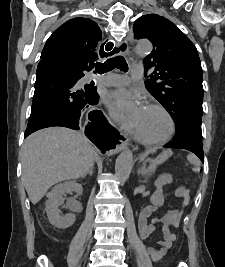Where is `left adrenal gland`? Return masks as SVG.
<instances>
[{"mask_svg":"<svg viewBox=\"0 0 225 267\" xmlns=\"http://www.w3.org/2000/svg\"><path fill=\"white\" fill-rule=\"evenodd\" d=\"M147 168H146V162H143L142 166L140 167L138 174H141L142 176H145L147 173Z\"/></svg>","mask_w":225,"mask_h":267,"instance_id":"1","label":"left adrenal gland"}]
</instances>
